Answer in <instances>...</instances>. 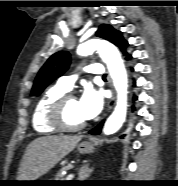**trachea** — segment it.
Returning a JSON list of instances; mask_svg holds the SVG:
<instances>
[{
  "label": "trachea",
  "instance_id": "obj_1",
  "mask_svg": "<svg viewBox=\"0 0 178 186\" xmlns=\"http://www.w3.org/2000/svg\"><path fill=\"white\" fill-rule=\"evenodd\" d=\"M103 78H104V79L106 78V74L103 75Z\"/></svg>",
  "mask_w": 178,
  "mask_h": 186
}]
</instances>
